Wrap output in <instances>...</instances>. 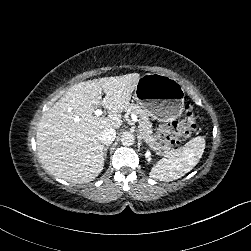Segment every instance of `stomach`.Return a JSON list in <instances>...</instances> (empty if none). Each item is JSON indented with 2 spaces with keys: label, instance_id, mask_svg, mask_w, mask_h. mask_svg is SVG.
Segmentation results:
<instances>
[{
  "label": "stomach",
  "instance_id": "obj_1",
  "mask_svg": "<svg viewBox=\"0 0 251 251\" xmlns=\"http://www.w3.org/2000/svg\"><path fill=\"white\" fill-rule=\"evenodd\" d=\"M133 97L153 119L170 122L183 112L185 91L166 74L146 73L139 78Z\"/></svg>",
  "mask_w": 251,
  "mask_h": 251
}]
</instances>
